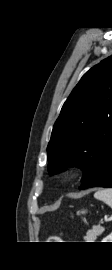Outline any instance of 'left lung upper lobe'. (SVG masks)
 <instances>
[{
	"label": "left lung upper lobe",
	"instance_id": "1",
	"mask_svg": "<svg viewBox=\"0 0 112 270\" xmlns=\"http://www.w3.org/2000/svg\"><path fill=\"white\" fill-rule=\"evenodd\" d=\"M112 145V55L83 75L65 101L47 147L48 172L77 166L90 179Z\"/></svg>",
	"mask_w": 112,
	"mask_h": 270
}]
</instances>
